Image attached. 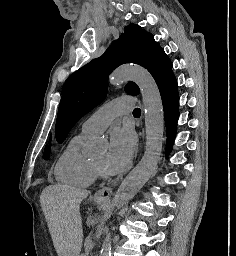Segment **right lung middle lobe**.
Wrapping results in <instances>:
<instances>
[{
	"mask_svg": "<svg viewBox=\"0 0 236 256\" xmlns=\"http://www.w3.org/2000/svg\"><path fill=\"white\" fill-rule=\"evenodd\" d=\"M49 153H50V146H49V145H46V146H45V150H44V154H43V158H44V159H48Z\"/></svg>",
	"mask_w": 236,
	"mask_h": 256,
	"instance_id": "1",
	"label": "right lung middle lobe"
}]
</instances>
